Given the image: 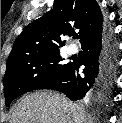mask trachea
Returning <instances> with one entry per match:
<instances>
[{"label": "trachea", "mask_w": 122, "mask_h": 123, "mask_svg": "<svg viewBox=\"0 0 122 123\" xmlns=\"http://www.w3.org/2000/svg\"><path fill=\"white\" fill-rule=\"evenodd\" d=\"M78 38V36H74V39H77Z\"/></svg>", "instance_id": "obj_1"}]
</instances>
